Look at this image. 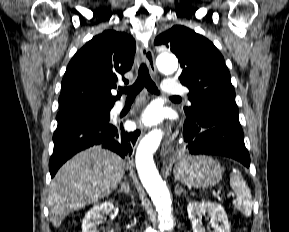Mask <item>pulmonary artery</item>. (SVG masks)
Returning <instances> with one entry per match:
<instances>
[{
	"mask_svg": "<svg viewBox=\"0 0 289 232\" xmlns=\"http://www.w3.org/2000/svg\"><path fill=\"white\" fill-rule=\"evenodd\" d=\"M162 91L166 94H180L185 92V88L174 79H166L162 83ZM124 107V103L119 101L114 107L115 112H119Z\"/></svg>",
	"mask_w": 289,
	"mask_h": 232,
	"instance_id": "e3ab8cb5",
	"label": "pulmonary artery"
}]
</instances>
